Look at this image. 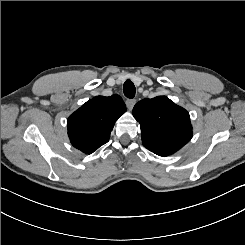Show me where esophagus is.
Instances as JSON below:
<instances>
[{
  "mask_svg": "<svg viewBox=\"0 0 245 245\" xmlns=\"http://www.w3.org/2000/svg\"><path fill=\"white\" fill-rule=\"evenodd\" d=\"M135 103H136V100L135 99H128L126 101L127 108L129 110H132V108L134 107Z\"/></svg>",
  "mask_w": 245,
  "mask_h": 245,
  "instance_id": "34e87169",
  "label": "esophagus"
}]
</instances>
